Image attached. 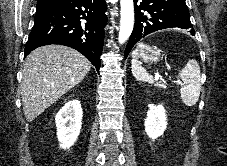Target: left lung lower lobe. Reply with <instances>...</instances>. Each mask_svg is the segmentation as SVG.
Listing matches in <instances>:
<instances>
[{
    "instance_id": "0a47b994",
    "label": "left lung lower lobe",
    "mask_w": 227,
    "mask_h": 166,
    "mask_svg": "<svg viewBox=\"0 0 227 166\" xmlns=\"http://www.w3.org/2000/svg\"><path fill=\"white\" fill-rule=\"evenodd\" d=\"M135 25L125 49V58L141 38L166 28H181L195 35L185 0H134ZM147 11L148 15L141 12Z\"/></svg>"
}]
</instances>
